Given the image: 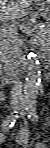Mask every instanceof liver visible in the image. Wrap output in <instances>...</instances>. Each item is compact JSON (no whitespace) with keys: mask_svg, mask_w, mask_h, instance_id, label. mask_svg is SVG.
<instances>
[{"mask_svg":"<svg viewBox=\"0 0 50 148\" xmlns=\"http://www.w3.org/2000/svg\"><path fill=\"white\" fill-rule=\"evenodd\" d=\"M33 0H1L0 12L4 20L14 21L25 14V10L31 5Z\"/></svg>","mask_w":50,"mask_h":148,"instance_id":"6515ba94","label":"liver"}]
</instances>
